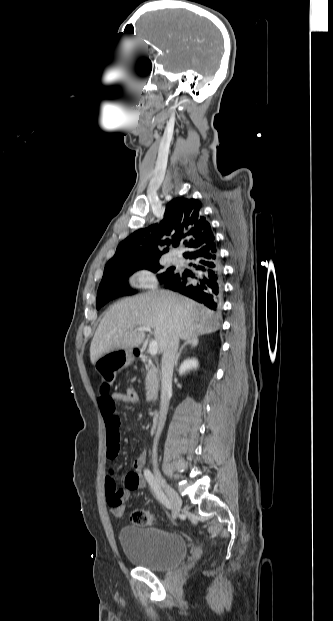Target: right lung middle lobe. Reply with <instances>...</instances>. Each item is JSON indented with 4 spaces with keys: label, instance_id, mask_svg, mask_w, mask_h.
<instances>
[{
    "label": "right lung middle lobe",
    "instance_id": "dd1d6c3e",
    "mask_svg": "<svg viewBox=\"0 0 333 621\" xmlns=\"http://www.w3.org/2000/svg\"><path fill=\"white\" fill-rule=\"evenodd\" d=\"M159 259L105 266L104 275L97 292V309L117 297L135 294L136 291L131 290L127 285L128 277L139 269H148L154 273L160 271L162 266L159 264ZM174 270L175 268L170 267L166 272L158 274L159 281L164 283L173 275Z\"/></svg>",
    "mask_w": 333,
    "mask_h": 621
}]
</instances>
